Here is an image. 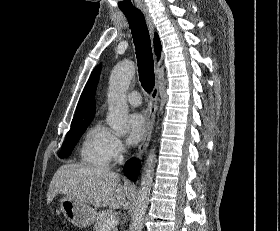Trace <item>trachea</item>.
I'll return each instance as SVG.
<instances>
[{
  "instance_id": "obj_1",
  "label": "trachea",
  "mask_w": 280,
  "mask_h": 231,
  "mask_svg": "<svg viewBox=\"0 0 280 231\" xmlns=\"http://www.w3.org/2000/svg\"><path fill=\"white\" fill-rule=\"evenodd\" d=\"M128 19L136 49L139 79L143 89L151 92L155 85L154 61L150 43L149 30L143 13L138 10L123 12Z\"/></svg>"
}]
</instances>
